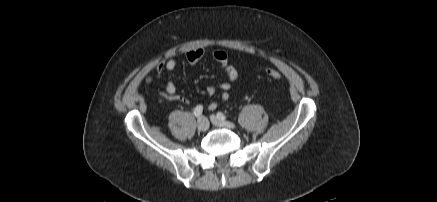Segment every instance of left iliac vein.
Segmentation results:
<instances>
[{"instance_id": "1", "label": "left iliac vein", "mask_w": 437, "mask_h": 202, "mask_svg": "<svg viewBox=\"0 0 437 202\" xmlns=\"http://www.w3.org/2000/svg\"><path fill=\"white\" fill-rule=\"evenodd\" d=\"M210 120H211L212 124L217 126V127H223V128H227V129L235 128L234 123L229 122V121H225V120H221L215 115H211Z\"/></svg>"}]
</instances>
